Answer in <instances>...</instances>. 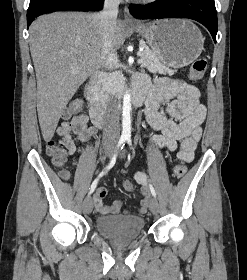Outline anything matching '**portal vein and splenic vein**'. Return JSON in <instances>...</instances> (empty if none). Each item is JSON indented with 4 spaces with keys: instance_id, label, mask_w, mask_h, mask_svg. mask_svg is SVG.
Returning <instances> with one entry per match:
<instances>
[{
    "instance_id": "obj_1",
    "label": "portal vein and splenic vein",
    "mask_w": 247,
    "mask_h": 280,
    "mask_svg": "<svg viewBox=\"0 0 247 280\" xmlns=\"http://www.w3.org/2000/svg\"><path fill=\"white\" fill-rule=\"evenodd\" d=\"M141 52H142V49H141V51L138 53V56L141 55ZM138 63H139V64L143 63V59H142L141 57H140V59H138Z\"/></svg>"
}]
</instances>
